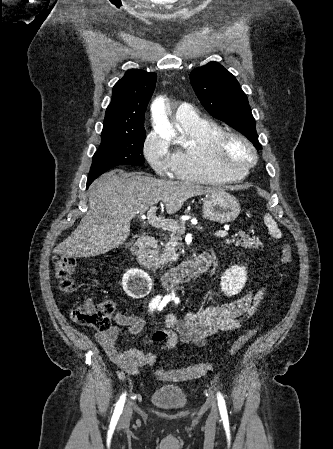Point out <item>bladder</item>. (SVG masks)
<instances>
[{"label": "bladder", "mask_w": 333, "mask_h": 449, "mask_svg": "<svg viewBox=\"0 0 333 449\" xmlns=\"http://www.w3.org/2000/svg\"><path fill=\"white\" fill-rule=\"evenodd\" d=\"M150 401L161 409H180L186 406L188 397L182 389L176 386L163 385L152 391Z\"/></svg>", "instance_id": "31cf9c89"}]
</instances>
